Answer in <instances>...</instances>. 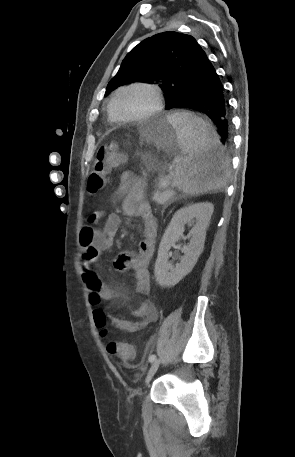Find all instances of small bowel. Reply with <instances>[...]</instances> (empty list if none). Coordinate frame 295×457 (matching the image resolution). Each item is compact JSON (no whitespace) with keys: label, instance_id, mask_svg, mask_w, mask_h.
Segmentation results:
<instances>
[{"label":"small bowel","instance_id":"small-bowel-1","mask_svg":"<svg viewBox=\"0 0 295 457\" xmlns=\"http://www.w3.org/2000/svg\"><path fill=\"white\" fill-rule=\"evenodd\" d=\"M116 196L124 197L123 211L127 216L139 217L143 223V239L137 254L129 251L121 252L113 262L119 272L131 271L135 281V291L139 295L150 292L149 261L155 250L157 223L150 204L145 199L141 181L130 171L122 173L115 190ZM90 225L80 232L81 277L88 289L92 302L99 300L112 301L118 295L99 278L95 263L102 252L109 250L118 233L121 219L118 214L99 210L89 217ZM107 325L110 324L122 331L134 333L149 324L156 322L159 311L152 301H144L132 311L135 321L125 320L107 312Z\"/></svg>","mask_w":295,"mask_h":457}]
</instances>
